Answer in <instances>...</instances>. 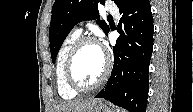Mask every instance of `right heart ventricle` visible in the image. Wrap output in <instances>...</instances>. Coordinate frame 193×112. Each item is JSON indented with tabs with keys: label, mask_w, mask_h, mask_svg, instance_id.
<instances>
[{
	"label": "right heart ventricle",
	"mask_w": 193,
	"mask_h": 112,
	"mask_svg": "<svg viewBox=\"0 0 193 112\" xmlns=\"http://www.w3.org/2000/svg\"><path fill=\"white\" fill-rule=\"evenodd\" d=\"M79 37L80 33L75 31L68 34L62 41L56 57L55 73L57 90L59 95L64 99H73L78 94V92L71 89L67 83L65 76V63L71 47L79 39Z\"/></svg>",
	"instance_id": "1"
}]
</instances>
